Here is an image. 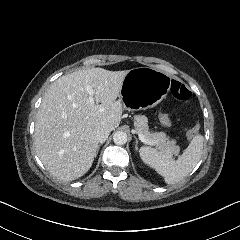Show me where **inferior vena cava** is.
Masks as SVG:
<instances>
[{
  "mask_svg": "<svg viewBox=\"0 0 240 240\" xmlns=\"http://www.w3.org/2000/svg\"><path fill=\"white\" fill-rule=\"evenodd\" d=\"M110 134V131L107 130V129H99L96 131V135H95V138H96V141L97 142H100V143H103L106 141V139L108 138Z\"/></svg>",
  "mask_w": 240,
  "mask_h": 240,
  "instance_id": "obj_1",
  "label": "inferior vena cava"
}]
</instances>
